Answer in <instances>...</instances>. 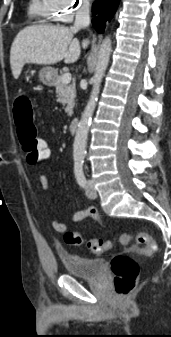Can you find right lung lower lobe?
<instances>
[{"label": "right lung lower lobe", "mask_w": 171, "mask_h": 337, "mask_svg": "<svg viewBox=\"0 0 171 337\" xmlns=\"http://www.w3.org/2000/svg\"><path fill=\"white\" fill-rule=\"evenodd\" d=\"M119 0H96L92 6V13L95 16L92 20L94 28L99 33H103L106 22L113 17Z\"/></svg>", "instance_id": "98d812e1"}]
</instances>
